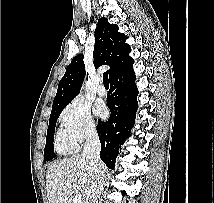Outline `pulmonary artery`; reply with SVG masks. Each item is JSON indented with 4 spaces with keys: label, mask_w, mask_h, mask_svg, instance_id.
Masks as SVG:
<instances>
[{
    "label": "pulmonary artery",
    "mask_w": 214,
    "mask_h": 203,
    "mask_svg": "<svg viewBox=\"0 0 214 203\" xmlns=\"http://www.w3.org/2000/svg\"><path fill=\"white\" fill-rule=\"evenodd\" d=\"M97 93L101 96L106 94V89L104 87V85L101 83L99 84L98 88H97Z\"/></svg>",
    "instance_id": "pulmonary-artery-1"
}]
</instances>
